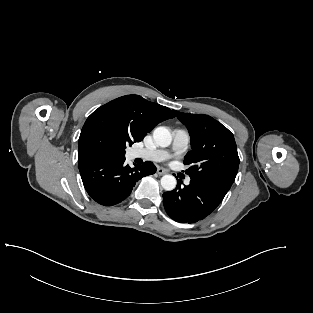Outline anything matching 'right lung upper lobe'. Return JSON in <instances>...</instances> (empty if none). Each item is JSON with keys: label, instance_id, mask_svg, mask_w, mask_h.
Returning <instances> with one entry per match:
<instances>
[{"label": "right lung upper lobe", "instance_id": "cb5924a9", "mask_svg": "<svg viewBox=\"0 0 313 313\" xmlns=\"http://www.w3.org/2000/svg\"><path fill=\"white\" fill-rule=\"evenodd\" d=\"M173 117L169 108L139 95L112 100L87 118L79 137L78 163L122 158L124 144L131 146L143 140L158 123Z\"/></svg>", "mask_w": 313, "mask_h": 313}]
</instances>
